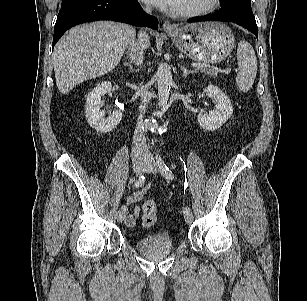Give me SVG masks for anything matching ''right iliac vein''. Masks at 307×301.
<instances>
[{
  "instance_id": "1",
  "label": "right iliac vein",
  "mask_w": 307,
  "mask_h": 301,
  "mask_svg": "<svg viewBox=\"0 0 307 301\" xmlns=\"http://www.w3.org/2000/svg\"><path fill=\"white\" fill-rule=\"evenodd\" d=\"M133 168L137 175H141L145 168V161L142 155L136 156L133 158ZM125 213L123 211H119L117 213V221L122 223L125 220Z\"/></svg>"
}]
</instances>
